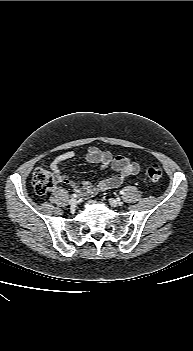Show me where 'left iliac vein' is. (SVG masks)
<instances>
[{"label":"left iliac vein","instance_id":"obj_1","mask_svg":"<svg viewBox=\"0 0 193 351\" xmlns=\"http://www.w3.org/2000/svg\"><path fill=\"white\" fill-rule=\"evenodd\" d=\"M109 203L113 206H116V205H119L121 206L123 204V202L119 199H113V198H110L109 199Z\"/></svg>","mask_w":193,"mask_h":351}]
</instances>
